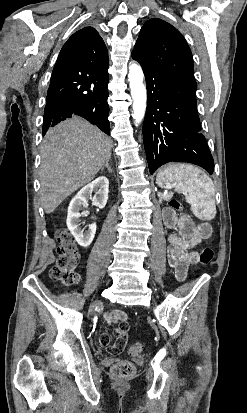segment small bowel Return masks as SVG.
<instances>
[{"label": "small bowel", "mask_w": 247, "mask_h": 413, "mask_svg": "<svg viewBox=\"0 0 247 413\" xmlns=\"http://www.w3.org/2000/svg\"><path fill=\"white\" fill-rule=\"evenodd\" d=\"M164 224L169 229H177L168 235L167 257L170 267L173 269L178 282H183L190 267L199 262L197 246L211 236V227L207 222L194 223L189 218L177 217L176 213L166 208L163 212ZM186 225H190V233H186ZM127 314L123 311L114 310L105 313V318L109 324H115L114 336L118 338L114 346L110 347L109 336L100 334L98 336L99 347L108 349L111 355H120L125 343L129 340L130 324L125 322ZM119 321V322H118Z\"/></svg>", "instance_id": "small-bowel-1"}]
</instances>
